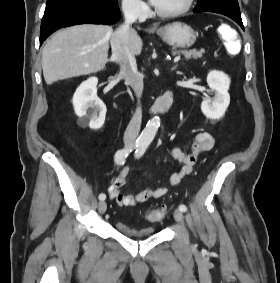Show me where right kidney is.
<instances>
[{
    "label": "right kidney",
    "mask_w": 280,
    "mask_h": 283,
    "mask_svg": "<svg viewBox=\"0 0 280 283\" xmlns=\"http://www.w3.org/2000/svg\"><path fill=\"white\" fill-rule=\"evenodd\" d=\"M96 77H90L76 89L73 96L75 114L78 124L93 130L100 129L105 122L106 105L97 97Z\"/></svg>",
    "instance_id": "right-kidney-1"
}]
</instances>
